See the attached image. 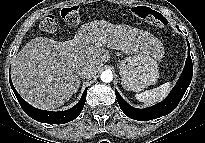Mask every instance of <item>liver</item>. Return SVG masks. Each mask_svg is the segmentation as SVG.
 <instances>
[{
  "mask_svg": "<svg viewBox=\"0 0 205 143\" xmlns=\"http://www.w3.org/2000/svg\"><path fill=\"white\" fill-rule=\"evenodd\" d=\"M104 47L129 55L163 52L158 39L147 31L96 20L81 25L72 40L36 37L28 42L12 61L14 87L34 107L58 108L78 91L84 66H95L98 72L109 61L110 52Z\"/></svg>",
  "mask_w": 205,
  "mask_h": 143,
  "instance_id": "liver-1",
  "label": "liver"
}]
</instances>
